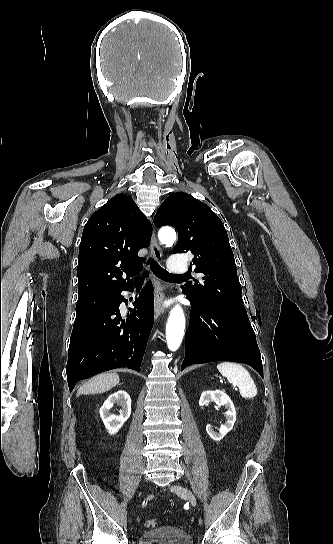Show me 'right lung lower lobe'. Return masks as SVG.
<instances>
[{
  "label": "right lung lower lobe",
  "instance_id": "98d812e1",
  "mask_svg": "<svg viewBox=\"0 0 333 544\" xmlns=\"http://www.w3.org/2000/svg\"><path fill=\"white\" fill-rule=\"evenodd\" d=\"M123 290H132V284L121 289L112 304L74 322L66 367L70 391L79 380L111 369L127 367L140 372L153 326L154 297L147 283L130 315L122 319L119 305L127 302L121 295Z\"/></svg>",
  "mask_w": 333,
  "mask_h": 544
}]
</instances>
